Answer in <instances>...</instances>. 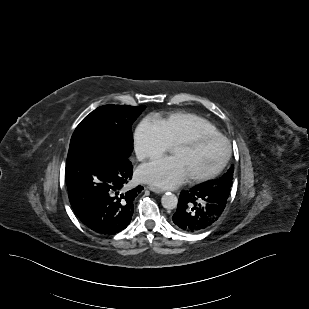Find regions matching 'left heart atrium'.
Segmentation results:
<instances>
[{
	"mask_svg": "<svg viewBox=\"0 0 309 309\" xmlns=\"http://www.w3.org/2000/svg\"><path fill=\"white\" fill-rule=\"evenodd\" d=\"M140 181L164 188H172L184 183L189 177L181 163L170 156L144 164L137 170Z\"/></svg>",
	"mask_w": 309,
	"mask_h": 309,
	"instance_id": "obj_1",
	"label": "left heart atrium"
}]
</instances>
